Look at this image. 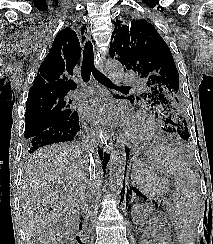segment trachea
Listing matches in <instances>:
<instances>
[{
    "label": "trachea",
    "instance_id": "3493384b",
    "mask_svg": "<svg viewBox=\"0 0 213 244\" xmlns=\"http://www.w3.org/2000/svg\"><path fill=\"white\" fill-rule=\"evenodd\" d=\"M91 73L93 74L95 79L101 84L110 88H118L106 76L98 72V70L95 68L93 45L90 41H88L85 43V47L83 51V62L81 66V75L83 81L88 82L90 80Z\"/></svg>",
    "mask_w": 213,
    "mask_h": 244
}]
</instances>
